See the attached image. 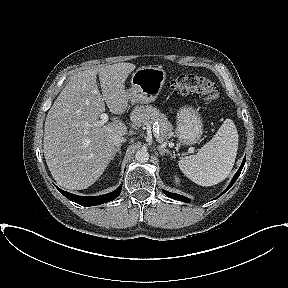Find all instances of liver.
<instances>
[{
  "instance_id": "liver-1",
  "label": "liver",
  "mask_w": 288,
  "mask_h": 288,
  "mask_svg": "<svg viewBox=\"0 0 288 288\" xmlns=\"http://www.w3.org/2000/svg\"><path fill=\"white\" fill-rule=\"evenodd\" d=\"M135 68L132 63H117L80 71L54 101L45 121L43 152L58 185L86 189L113 160V138L126 135L127 127L118 120L103 125L98 121L106 105L113 114L126 112L129 99L125 81Z\"/></svg>"
}]
</instances>
